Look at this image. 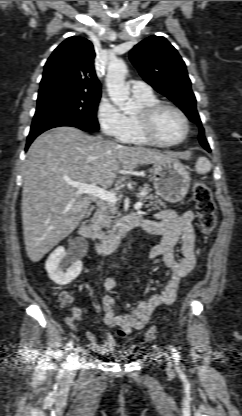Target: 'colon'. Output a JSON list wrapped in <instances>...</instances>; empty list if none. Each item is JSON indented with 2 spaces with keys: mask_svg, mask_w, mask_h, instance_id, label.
<instances>
[{
  "mask_svg": "<svg viewBox=\"0 0 242 416\" xmlns=\"http://www.w3.org/2000/svg\"><path fill=\"white\" fill-rule=\"evenodd\" d=\"M193 198L199 217V230L202 235L208 236L214 230L217 222L216 206L208 185L202 181L196 182L193 188ZM60 298L65 303L69 301L65 294H61ZM119 333L125 335V331L122 328H119ZM155 336V328H150L145 333L147 340H153Z\"/></svg>",
  "mask_w": 242,
  "mask_h": 416,
  "instance_id": "5ec220e1",
  "label": "colon"
}]
</instances>
